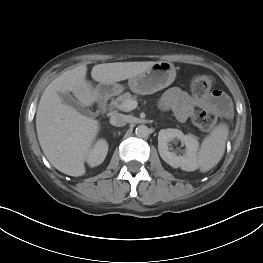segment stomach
Here are the masks:
<instances>
[{
  "label": "stomach",
  "instance_id": "0dacf381",
  "mask_svg": "<svg viewBox=\"0 0 263 263\" xmlns=\"http://www.w3.org/2000/svg\"><path fill=\"white\" fill-rule=\"evenodd\" d=\"M176 77L174 65L168 61L155 62L151 67L140 74L129 78V89L137 94H153L169 86ZM124 87L117 83H100L96 91L101 96L120 93Z\"/></svg>",
  "mask_w": 263,
  "mask_h": 263
}]
</instances>
